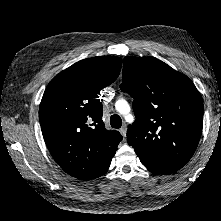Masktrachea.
Returning a JSON list of instances; mask_svg holds the SVG:
<instances>
[{
    "label": "trachea",
    "instance_id": "1",
    "mask_svg": "<svg viewBox=\"0 0 221 221\" xmlns=\"http://www.w3.org/2000/svg\"><path fill=\"white\" fill-rule=\"evenodd\" d=\"M111 127L118 129L122 126V119L119 115L114 114L110 118Z\"/></svg>",
    "mask_w": 221,
    "mask_h": 221
}]
</instances>
